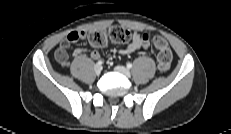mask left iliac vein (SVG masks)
<instances>
[{
	"label": "left iliac vein",
	"instance_id": "1",
	"mask_svg": "<svg viewBox=\"0 0 231 134\" xmlns=\"http://www.w3.org/2000/svg\"><path fill=\"white\" fill-rule=\"evenodd\" d=\"M115 71H117L118 73L123 74V75L126 76L127 78H130V77H131L130 71H129L126 67H124V66H121V65L116 66V67H115Z\"/></svg>",
	"mask_w": 231,
	"mask_h": 134
}]
</instances>
